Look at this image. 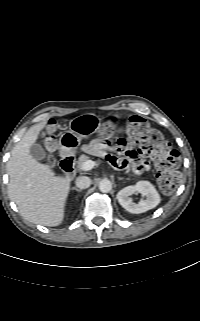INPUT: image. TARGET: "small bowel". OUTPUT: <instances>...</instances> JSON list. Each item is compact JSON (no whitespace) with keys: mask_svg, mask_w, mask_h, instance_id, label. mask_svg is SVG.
I'll return each instance as SVG.
<instances>
[{"mask_svg":"<svg viewBox=\"0 0 200 321\" xmlns=\"http://www.w3.org/2000/svg\"><path fill=\"white\" fill-rule=\"evenodd\" d=\"M97 151L104 149L115 150L120 157L106 155L108 163L119 170L131 167L136 173H142L150 168V162L146 159L144 153L135 147L134 143L129 141L128 137L117 133L112 138H102L100 143L91 147Z\"/></svg>","mask_w":200,"mask_h":321,"instance_id":"c3829d8e","label":"small bowel"}]
</instances>
